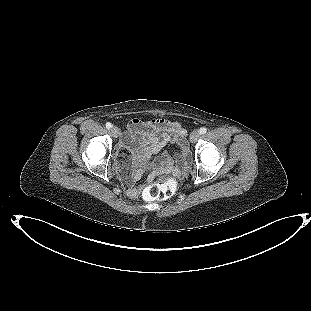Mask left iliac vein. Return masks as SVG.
I'll use <instances>...</instances> for the list:
<instances>
[{"mask_svg": "<svg viewBox=\"0 0 311 311\" xmlns=\"http://www.w3.org/2000/svg\"><path fill=\"white\" fill-rule=\"evenodd\" d=\"M200 136V132L198 130H194L190 134V141L192 143L196 142Z\"/></svg>", "mask_w": 311, "mask_h": 311, "instance_id": "obj_1", "label": "left iliac vein"}]
</instances>
